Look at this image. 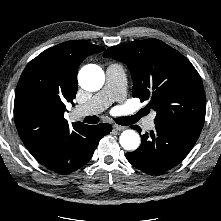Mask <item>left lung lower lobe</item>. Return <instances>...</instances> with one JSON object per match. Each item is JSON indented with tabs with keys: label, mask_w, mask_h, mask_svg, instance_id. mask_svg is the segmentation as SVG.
I'll return each mask as SVG.
<instances>
[{
	"label": "left lung lower lobe",
	"mask_w": 221,
	"mask_h": 221,
	"mask_svg": "<svg viewBox=\"0 0 221 221\" xmlns=\"http://www.w3.org/2000/svg\"><path fill=\"white\" fill-rule=\"evenodd\" d=\"M138 132L140 127L132 126ZM199 135L164 126H155L141 135V145L126 153L127 160L146 174L157 175L178 165L190 152Z\"/></svg>",
	"instance_id": "1"
}]
</instances>
